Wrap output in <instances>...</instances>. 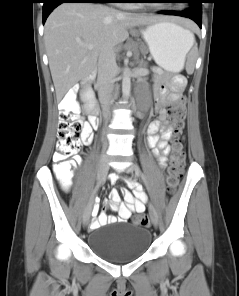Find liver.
I'll return each instance as SVG.
<instances>
[{
	"label": "liver",
	"instance_id": "liver-1",
	"mask_svg": "<svg viewBox=\"0 0 239 296\" xmlns=\"http://www.w3.org/2000/svg\"><path fill=\"white\" fill-rule=\"evenodd\" d=\"M165 18L124 13L102 4L63 3L48 17L44 40L57 99L96 70L100 55L123 43L128 29ZM93 44L94 49L86 46Z\"/></svg>",
	"mask_w": 239,
	"mask_h": 296
}]
</instances>
